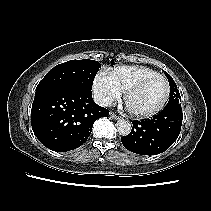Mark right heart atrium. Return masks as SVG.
I'll return each mask as SVG.
<instances>
[{
  "label": "right heart atrium",
  "instance_id": "1",
  "mask_svg": "<svg viewBox=\"0 0 211 211\" xmlns=\"http://www.w3.org/2000/svg\"><path fill=\"white\" fill-rule=\"evenodd\" d=\"M93 92L95 99L103 106H109L121 97L122 91L118 87L111 73L100 71L93 81Z\"/></svg>",
  "mask_w": 211,
  "mask_h": 211
}]
</instances>
